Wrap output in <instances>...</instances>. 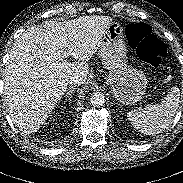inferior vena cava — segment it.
Masks as SVG:
<instances>
[{"mask_svg": "<svg viewBox=\"0 0 183 183\" xmlns=\"http://www.w3.org/2000/svg\"><path fill=\"white\" fill-rule=\"evenodd\" d=\"M67 82L74 85L82 84V78L78 74H71L68 76Z\"/></svg>", "mask_w": 183, "mask_h": 183, "instance_id": "602c4592", "label": "inferior vena cava"}]
</instances>
